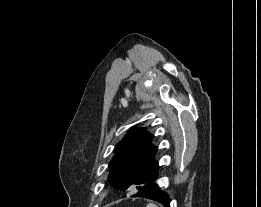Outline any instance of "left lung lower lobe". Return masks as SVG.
Returning a JSON list of instances; mask_svg holds the SVG:
<instances>
[{"label": "left lung lower lobe", "instance_id": "1", "mask_svg": "<svg viewBox=\"0 0 261 207\" xmlns=\"http://www.w3.org/2000/svg\"><path fill=\"white\" fill-rule=\"evenodd\" d=\"M156 178L138 187L137 192L132 197L151 199L159 202L164 207H170L169 196L155 183Z\"/></svg>", "mask_w": 261, "mask_h": 207}]
</instances>
